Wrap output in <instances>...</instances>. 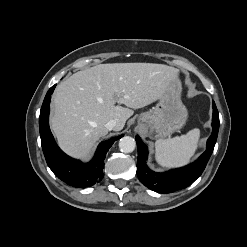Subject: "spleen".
<instances>
[{
  "label": "spleen",
  "mask_w": 247,
  "mask_h": 247,
  "mask_svg": "<svg viewBox=\"0 0 247 247\" xmlns=\"http://www.w3.org/2000/svg\"><path fill=\"white\" fill-rule=\"evenodd\" d=\"M200 138V130L194 128L186 135L159 139L155 142V158L166 168L184 166L194 155Z\"/></svg>",
  "instance_id": "1"
}]
</instances>
